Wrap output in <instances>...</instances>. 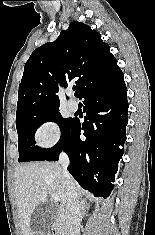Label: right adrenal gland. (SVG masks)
<instances>
[{
    "label": "right adrenal gland",
    "mask_w": 155,
    "mask_h": 235,
    "mask_svg": "<svg viewBox=\"0 0 155 235\" xmlns=\"http://www.w3.org/2000/svg\"><path fill=\"white\" fill-rule=\"evenodd\" d=\"M80 208H81V211H82V217H84L86 215V213H87L86 210L88 209L87 203H86L85 200H81Z\"/></svg>",
    "instance_id": "1"
}]
</instances>
